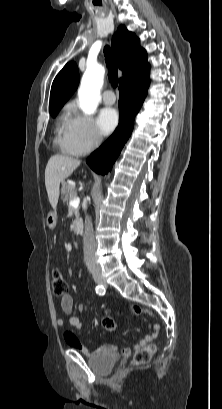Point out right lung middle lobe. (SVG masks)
Returning a JSON list of instances; mask_svg holds the SVG:
<instances>
[{
	"mask_svg": "<svg viewBox=\"0 0 222 409\" xmlns=\"http://www.w3.org/2000/svg\"><path fill=\"white\" fill-rule=\"evenodd\" d=\"M58 112H59V110H55V111H51L50 114H51L52 117H55Z\"/></svg>",
	"mask_w": 222,
	"mask_h": 409,
	"instance_id": "dd1d6c3e",
	"label": "right lung middle lobe"
}]
</instances>
